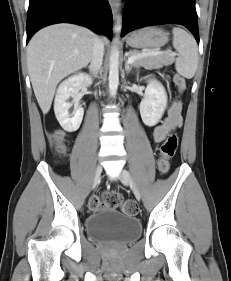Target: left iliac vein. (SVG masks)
Masks as SVG:
<instances>
[{"mask_svg":"<svg viewBox=\"0 0 231 281\" xmlns=\"http://www.w3.org/2000/svg\"><path fill=\"white\" fill-rule=\"evenodd\" d=\"M118 176L124 185H129L132 188L136 199L140 200L141 199L140 191H139L138 187L135 185V183L133 182V179H132L130 173L126 169H121Z\"/></svg>","mask_w":231,"mask_h":281,"instance_id":"1","label":"left iliac vein"}]
</instances>
